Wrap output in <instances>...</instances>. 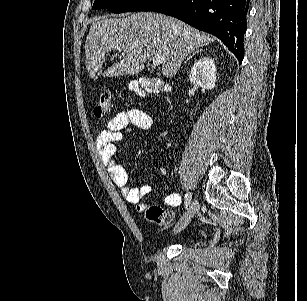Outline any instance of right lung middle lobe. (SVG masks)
<instances>
[{"instance_id":"1","label":"right lung middle lobe","mask_w":307,"mask_h":301,"mask_svg":"<svg viewBox=\"0 0 307 301\" xmlns=\"http://www.w3.org/2000/svg\"><path fill=\"white\" fill-rule=\"evenodd\" d=\"M154 0H95L92 9H108L114 13L142 11Z\"/></svg>"}]
</instances>
